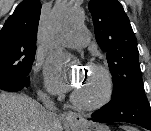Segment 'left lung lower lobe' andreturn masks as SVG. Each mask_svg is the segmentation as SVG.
Returning <instances> with one entry per match:
<instances>
[{"label": "left lung lower lobe", "instance_id": "1", "mask_svg": "<svg viewBox=\"0 0 151 131\" xmlns=\"http://www.w3.org/2000/svg\"><path fill=\"white\" fill-rule=\"evenodd\" d=\"M93 122H127L151 130V107L143 86H134L95 111Z\"/></svg>", "mask_w": 151, "mask_h": 131}]
</instances>
